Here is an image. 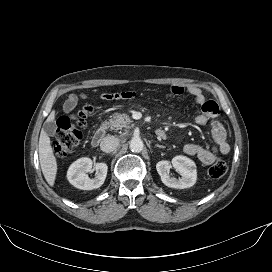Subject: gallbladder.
Instances as JSON below:
<instances>
[{
    "label": "gallbladder",
    "mask_w": 272,
    "mask_h": 272,
    "mask_svg": "<svg viewBox=\"0 0 272 272\" xmlns=\"http://www.w3.org/2000/svg\"><path fill=\"white\" fill-rule=\"evenodd\" d=\"M43 130L49 136H54L56 132V124L53 121L45 122L43 125Z\"/></svg>",
    "instance_id": "1"
}]
</instances>
